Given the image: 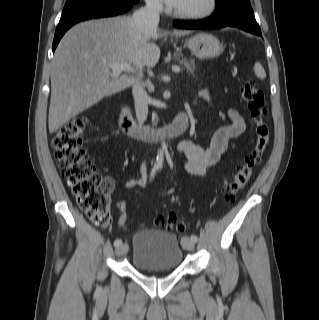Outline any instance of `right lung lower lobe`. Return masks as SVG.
<instances>
[{
  "label": "right lung lower lobe",
  "instance_id": "98d812e1",
  "mask_svg": "<svg viewBox=\"0 0 319 320\" xmlns=\"http://www.w3.org/2000/svg\"><path fill=\"white\" fill-rule=\"evenodd\" d=\"M139 0H104L84 6L74 12L62 15L56 28L53 52L64 33L74 24L92 19L125 13Z\"/></svg>",
  "mask_w": 319,
  "mask_h": 320
}]
</instances>
